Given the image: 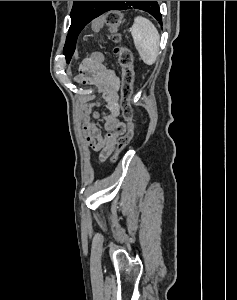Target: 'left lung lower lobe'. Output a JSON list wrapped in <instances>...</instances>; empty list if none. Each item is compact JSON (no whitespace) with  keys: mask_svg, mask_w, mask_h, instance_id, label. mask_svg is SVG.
<instances>
[{"mask_svg":"<svg viewBox=\"0 0 237 300\" xmlns=\"http://www.w3.org/2000/svg\"><path fill=\"white\" fill-rule=\"evenodd\" d=\"M110 10H122L120 7V1H109L102 11V14Z\"/></svg>","mask_w":237,"mask_h":300,"instance_id":"left-lung-lower-lobe-1","label":"left lung lower lobe"}]
</instances>
